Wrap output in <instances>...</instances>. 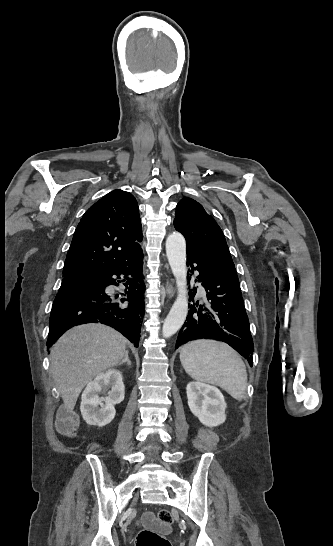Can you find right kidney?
I'll use <instances>...</instances> for the list:
<instances>
[{"instance_id": "right-kidney-1", "label": "right kidney", "mask_w": 333, "mask_h": 546, "mask_svg": "<svg viewBox=\"0 0 333 546\" xmlns=\"http://www.w3.org/2000/svg\"><path fill=\"white\" fill-rule=\"evenodd\" d=\"M109 388L107 397H99V393ZM124 390L122 373L116 369L100 373L90 382L82 394L80 405L82 416L87 424L98 427L109 424L115 417L114 406L124 400Z\"/></svg>"}]
</instances>
